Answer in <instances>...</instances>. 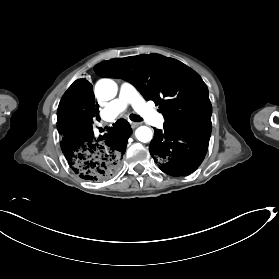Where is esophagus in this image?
<instances>
[{
  "label": "esophagus",
  "instance_id": "obj_1",
  "mask_svg": "<svg viewBox=\"0 0 279 279\" xmlns=\"http://www.w3.org/2000/svg\"><path fill=\"white\" fill-rule=\"evenodd\" d=\"M140 125V123H138V122H131V127L133 128V129H135L136 127H138Z\"/></svg>",
  "mask_w": 279,
  "mask_h": 279
}]
</instances>
